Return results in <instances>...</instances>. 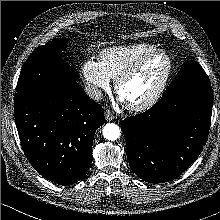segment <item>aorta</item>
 <instances>
[{
    "instance_id": "762f6f07",
    "label": "aorta",
    "mask_w": 220,
    "mask_h": 220,
    "mask_svg": "<svg viewBox=\"0 0 220 220\" xmlns=\"http://www.w3.org/2000/svg\"><path fill=\"white\" fill-rule=\"evenodd\" d=\"M121 135L119 126L114 123H108L103 127V136L107 140H117Z\"/></svg>"
}]
</instances>
